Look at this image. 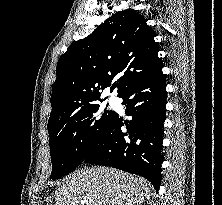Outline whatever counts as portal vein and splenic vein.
Returning <instances> with one entry per match:
<instances>
[{
  "label": "portal vein and splenic vein",
  "mask_w": 222,
  "mask_h": 205,
  "mask_svg": "<svg viewBox=\"0 0 222 205\" xmlns=\"http://www.w3.org/2000/svg\"><path fill=\"white\" fill-rule=\"evenodd\" d=\"M81 204H83V205H84V204H85V201L81 202Z\"/></svg>",
  "instance_id": "portal-vein-and-splenic-vein-1"
}]
</instances>
